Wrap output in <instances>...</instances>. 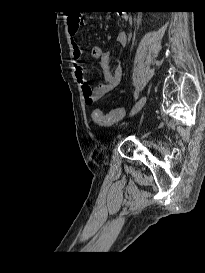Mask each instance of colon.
Wrapping results in <instances>:
<instances>
[{
  "instance_id": "colon-1",
  "label": "colon",
  "mask_w": 205,
  "mask_h": 273,
  "mask_svg": "<svg viewBox=\"0 0 205 273\" xmlns=\"http://www.w3.org/2000/svg\"><path fill=\"white\" fill-rule=\"evenodd\" d=\"M76 21L82 23L80 17H76ZM126 116L124 108H116L108 113H103L100 109L96 108L92 112L93 121L100 126H110L113 123L122 120Z\"/></svg>"
}]
</instances>
